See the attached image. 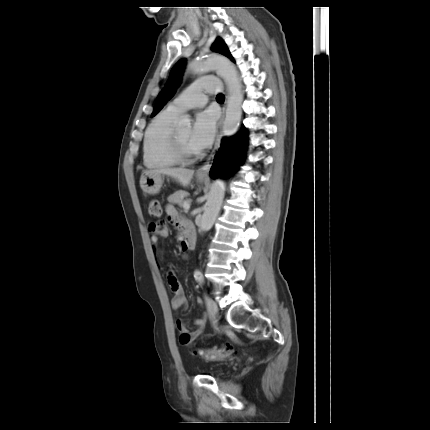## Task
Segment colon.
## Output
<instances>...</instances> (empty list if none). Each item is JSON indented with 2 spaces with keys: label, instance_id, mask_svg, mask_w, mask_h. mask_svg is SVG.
<instances>
[{
  "label": "colon",
  "instance_id": "colon-1",
  "mask_svg": "<svg viewBox=\"0 0 430 430\" xmlns=\"http://www.w3.org/2000/svg\"><path fill=\"white\" fill-rule=\"evenodd\" d=\"M149 214L152 217L159 218L162 214V209L160 203L158 201H151L149 203ZM235 353V349L231 344L225 345L223 348H208V349H198L195 354L200 357L211 360V361H220L226 358L231 357ZM183 390L186 389V385L183 383Z\"/></svg>",
  "mask_w": 430,
  "mask_h": 430
}]
</instances>
